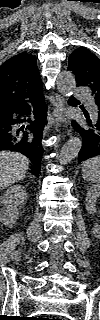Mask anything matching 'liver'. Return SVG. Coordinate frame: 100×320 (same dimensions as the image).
<instances>
[{
  "label": "liver",
  "instance_id": "1",
  "mask_svg": "<svg viewBox=\"0 0 100 320\" xmlns=\"http://www.w3.org/2000/svg\"><path fill=\"white\" fill-rule=\"evenodd\" d=\"M29 159L18 152L2 151L0 153V189L14 184L26 176Z\"/></svg>",
  "mask_w": 100,
  "mask_h": 320
}]
</instances>
